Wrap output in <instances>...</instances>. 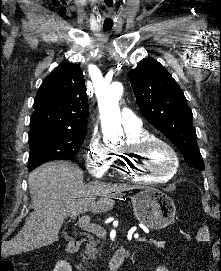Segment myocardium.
<instances>
[{
	"instance_id": "myocardium-1",
	"label": "myocardium",
	"mask_w": 221,
	"mask_h": 271,
	"mask_svg": "<svg viewBox=\"0 0 221 271\" xmlns=\"http://www.w3.org/2000/svg\"><path fill=\"white\" fill-rule=\"evenodd\" d=\"M166 140L169 139L153 137L141 140L140 145H125V150H131L132 158H123L121 161H117V166H120L122 172L127 173L128 178H132L134 175H142L144 178L148 175H156L157 177L179 175L180 170H178V165H175L177 156H173L175 150H172V145L166 144ZM156 150H164L160 156L167 159H163L160 163L155 159L153 161L155 164L151 165L149 163L150 156L156 155L158 153Z\"/></svg>"
}]
</instances>
